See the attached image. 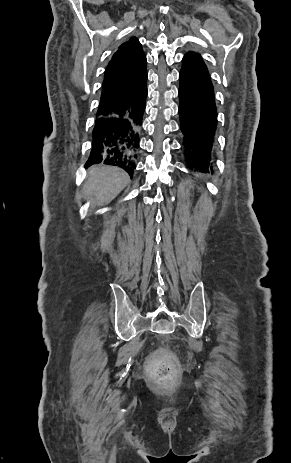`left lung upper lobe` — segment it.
Masks as SVG:
<instances>
[{"mask_svg":"<svg viewBox=\"0 0 291 463\" xmlns=\"http://www.w3.org/2000/svg\"><path fill=\"white\" fill-rule=\"evenodd\" d=\"M182 68L194 70L209 75L208 69L200 54L188 52L182 59Z\"/></svg>","mask_w":291,"mask_h":463,"instance_id":"left-lung-upper-lobe-1","label":"left lung upper lobe"}]
</instances>
